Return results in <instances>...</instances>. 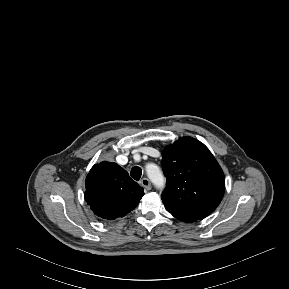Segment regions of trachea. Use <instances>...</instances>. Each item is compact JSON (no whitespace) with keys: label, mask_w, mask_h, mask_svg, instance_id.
I'll use <instances>...</instances> for the list:
<instances>
[{"label":"trachea","mask_w":289,"mask_h":289,"mask_svg":"<svg viewBox=\"0 0 289 289\" xmlns=\"http://www.w3.org/2000/svg\"><path fill=\"white\" fill-rule=\"evenodd\" d=\"M130 175L134 180L139 181L142 175V169L138 166H135L131 169Z\"/></svg>","instance_id":"3493384b"}]
</instances>
